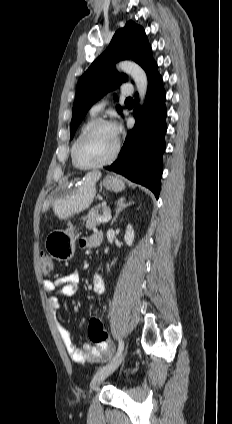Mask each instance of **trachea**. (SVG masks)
I'll return each instance as SVG.
<instances>
[{
    "label": "trachea",
    "instance_id": "3493384b",
    "mask_svg": "<svg viewBox=\"0 0 232 424\" xmlns=\"http://www.w3.org/2000/svg\"><path fill=\"white\" fill-rule=\"evenodd\" d=\"M125 102H126V103H133V99H132V98H127V99L125 100Z\"/></svg>",
    "mask_w": 232,
    "mask_h": 424
}]
</instances>
